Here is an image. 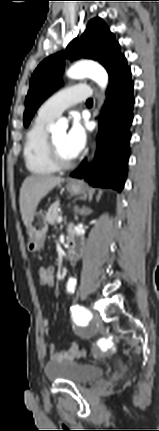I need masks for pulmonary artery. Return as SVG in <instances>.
I'll list each match as a JSON object with an SVG mask.
<instances>
[{
    "instance_id": "1",
    "label": "pulmonary artery",
    "mask_w": 159,
    "mask_h": 431,
    "mask_svg": "<svg viewBox=\"0 0 159 431\" xmlns=\"http://www.w3.org/2000/svg\"><path fill=\"white\" fill-rule=\"evenodd\" d=\"M91 94L92 90L86 84L70 85L47 99L39 113L54 119L74 104L89 99Z\"/></svg>"
}]
</instances>
